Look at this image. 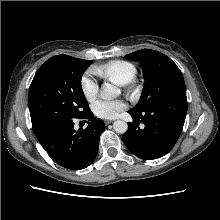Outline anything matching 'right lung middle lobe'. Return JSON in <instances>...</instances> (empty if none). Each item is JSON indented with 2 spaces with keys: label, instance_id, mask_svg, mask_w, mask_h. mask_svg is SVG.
I'll return each instance as SVG.
<instances>
[{
  "label": "right lung middle lobe",
  "instance_id": "dd1d6c3e",
  "mask_svg": "<svg viewBox=\"0 0 220 220\" xmlns=\"http://www.w3.org/2000/svg\"><path fill=\"white\" fill-rule=\"evenodd\" d=\"M91 63V60L57 55L38 69L29 88V110L35 134L89 110L81 77Z\"/></svg>",
  "mask_w": 220,
  "mask_h": 220
}]
</instances>
